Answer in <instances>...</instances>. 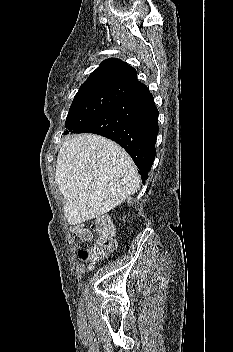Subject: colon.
<instances>
[{
    "mask_svg": "<svg viewBox=\"0 0 233 352\" xmlns=\"http://www.w3.org/2000/svg\"><path fill=\"white\" fill-rule=\"evenodd\" d=\"M92 230L97 232V237L91 246L80 248L79 257L84 260L95 261L112 252L115 248V241L110 226L102 220L96 221L91 228L76 226L74 233L80 243L84 244L90 240Z\"/></svg>",
    "mask_w": 233,
    "mask_h": 352,
    "instance_id": "colon-1",
    "label": "colon"
}]
</instances>
